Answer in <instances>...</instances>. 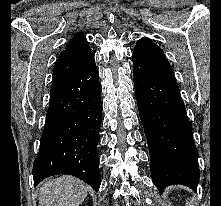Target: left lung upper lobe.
Returning a JSON list of instances; mask_svg holds the SVG:
<instances>
[{
    "instance_id": "1",
    "label": "left lung upper lobe",
    "mask_w": 221,
    "mask_h": 206,
    "mask_svg": "<svg viewBox=\"0 0 221 206\" xmlns=\"http://www.w3.org/2000/svg\"><path fill=\"white\" fill-rule=\"evenodd\" d=\"M133 71L160 78L175 79L164 52L149 38L137 41L133 51Z\"/></svg>"
}]
</instances>
